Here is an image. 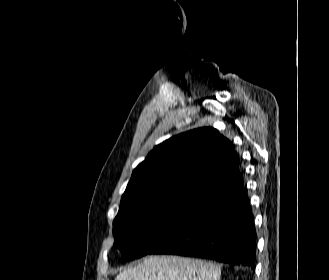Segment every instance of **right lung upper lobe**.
<instances>
[{
    "instance_id": "right-lung-upper-lobe-1",
    "label": "right lung upper lobe",
    "mask_w": 329,
    "mask_h": 280,
    "mask_svg": "<svg viewBox=\"0 0 329 280\" xmlns=\"http://www.w3.org/2000/svg\"><path fill=\"white\" fill-rule=\"evenodd\" d=\"M239 172L233 144L216 129H194L154 147L133 171L121 204L176 195L203 198L221 181Z\"/></svg>"
}]
</instances>
